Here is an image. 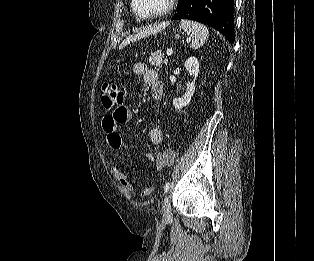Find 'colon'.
Returning a JSON list of instances; mask_svg holds the SVG:
<instances>
[{
	"instance_id": "colon-1",
	"label": "colon",
	"mask_w": 314,
	"mask_h": 261,
	"mask_svg": "<svg viewBox=\"0 0 314 261\" xmlns=\"http://www.w3.org/2000/svg\"><path fill=\"white\" fill-rule=\"evenodd\" d=\"M103 95L101 99V104L104 111L107 112L108 109H117L123 103V92L121 89L113 82H105L102 87ZM174 160L173 150L167 149L160 156V163L164 166H169Z\"/></svg>"
}]
</instances>
